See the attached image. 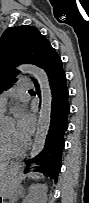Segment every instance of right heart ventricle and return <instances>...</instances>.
Listing matches in <instances>:
<instances>
[{
	"mask_svg": "<svg viewBox=\"0 0 89 203\" xmlns=\"http://www.w3.org/2000/svg\"><path fill=\"white\" fill-rule=\"evenodd\" d=\"M0 147H1V141H0ZM7 158L8 157L1 151V148H0V160H5Z\"/></svg>",
	"mask_w": 89,
	"mask_h": 203,
	"instance_id": "obj_1",
	"label": "right heart ventricle"
}]
</instances>
